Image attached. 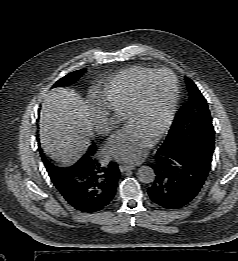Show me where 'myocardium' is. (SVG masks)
Here are the masks:
<instances>
[{"label": "myocardium", "mask_w": 238, "mask_h": 261, "mask_svg": "<svg viewBox=\"0 0 238 261\" xmlns=\"http://www.w3.org/2000/svg\"><path fill=\"white\" fill-rule=\"evenodd\" d=\"M161 74H168L171 76L172 81H173V93H172V98H171V102H170V106H169L167 115H166L163 123L159 127V129L153 135V140H158L159 138H161L163 136V134L171 126V124L174 120L175 114H176L178 101H179V81H178L177 76L175 75V73L172 70L167 69V68L157 69V70H154L151 73H149L147 76H145L142 79V81L139 83L135 96H134V99L125 114L127 117V116L131 115L132 113L137 112L141 108L143 98H144V92H145V88H146L147 84L150 82L151 79H153L154 77L161 75Z\"/></svg>", "instance_id": "obj_1"}]
</instances>
